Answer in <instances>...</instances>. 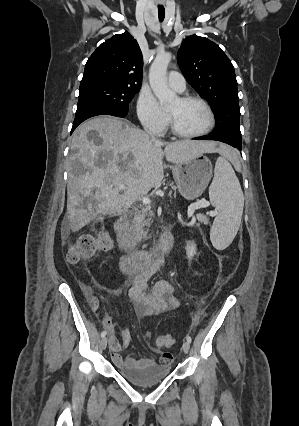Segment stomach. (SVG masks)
Masks as SVG:
<instances>
[{
  "label": "stomach",
  "instance_id": "1",
  "mask_svg": "<svg viewBox=\"0 0 299 426\" xmlns=\"http://www.w3.org/2000/svg\"><path fill=\"white\" fill-rule=\"evenodd\" d=\"M173 177L180 194L187 200L199 197L212 177L211 161L200 154L189 161L172 167Z\"/></svg>",
  "mask_w": 299,
  "mask_h": 426
}]
</instances>
